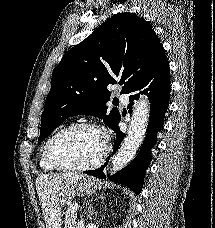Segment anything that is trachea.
<instances>
[{"label":"trachea","instance_id":"1","mask_svg":"<svg viewBox=\"0 0 215 228\" xmlns=\"http://www.w3.org/2000/svg\"><path fill=\"white\" fill-rule=\"evenodd\" d=\"M114 104L118 105V104H119V102L117 101V102H116V103H114Z\"/></svg>","mask_w":215,"mask_h":228}]
</instances>
